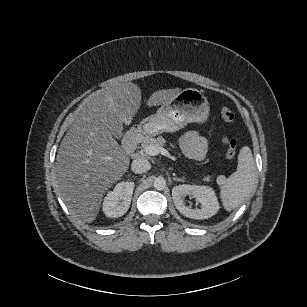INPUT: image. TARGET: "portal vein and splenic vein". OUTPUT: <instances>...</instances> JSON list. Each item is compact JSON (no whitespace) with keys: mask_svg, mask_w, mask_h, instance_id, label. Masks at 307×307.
<instances>
[{"mask_svg":"<svg viewBox=\"0 0 307 307\" xmlns=\"http://www.w3.org/2000/svg\"><path fill=\"white\" fill-rule=\"evenodd\" d=\"M144 151L146 154L150 155V156H155V155H158V154H161L163 156H166L170 159H174L173 156H171V154L163 147H159V146H156V145H149L147 147L144 148Z\"/></svg>","mask_w":307,"mask_h":307,"instance_id":"obj_1","label":"portal vein and splenic vein"}]
</instances>
